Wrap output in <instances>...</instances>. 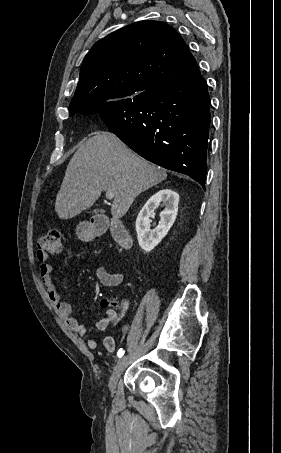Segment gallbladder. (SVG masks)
Instances as JSON below:
<instances>
[{
	"mask_svg": "<svg viewBox=\"0 0 281 453\" xmlns=\"http://www.w3.org/2000/svg\"><path fill=\"white\" fill-rule=\"evenodd\" d=\"M92 212H101L100 208H95V210H92Z\"/></svg>",
	"mask_w": 281,
	"mask_h": 453,
	"instance_id": "bac80fb5",
	"label": "gallbladder"
}]
</instances>
